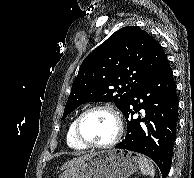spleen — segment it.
I'll return each mask as SVG.
<instances>
[{
	"mask_svg": "<svg viewBox=\"0 0 194 178\" xmlns=\"http://www.w3.org/2000/svg\"><path fill=\"white\" fill-rule=\"evenodd\" d=\"M139 169L143 175H149L151 177L155 175L153 163L144 156H140L139 158Z\"/></svg>",
	"mask_w": 194,
	"mask_h": 178,
	"instance_id": "obj_1",
	"label": "spleen"
}]
</instances>
